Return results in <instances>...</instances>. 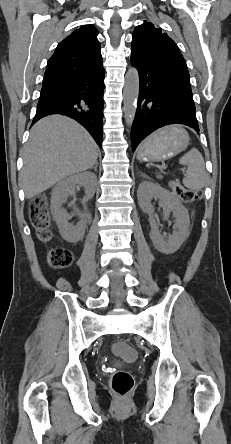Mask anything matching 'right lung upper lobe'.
<instances>
[{"label":"right lung upper lobe","mask_w":231,"mask_h":444,"mask_svg":"<svg viewBox=\"0 0 231 444\" xmlns=\"http://www.w3.org/2000/svg\"><path fill=\"white\" fill-rule=\"evenodd\" d=\"M97 34L94 26L85 25L61 41L48 61L43 84L103 69Z\"/></svg>","instance_id":"right-lung-upper-lobe-1"}]
</instances>
